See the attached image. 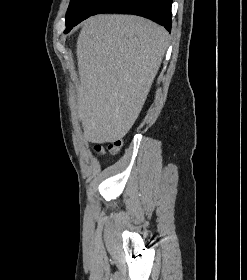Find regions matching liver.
<instances>
[{"label": "liver", "mask_w": 247, "mask_h": 280, "mask_svg": "<svg viewBox=\"0 0 247 280\" xmlns=\"http://www.w3.org/2000/svg\"><path fill=\"white\" fill-rule=\"evenodd\" d=\"M166 29L134 15L87 19L77 40L79 116L90 140L123 138L136 121L168 47Z\"/></svg>", "instance_id": "liver-1"}]
</instances>
